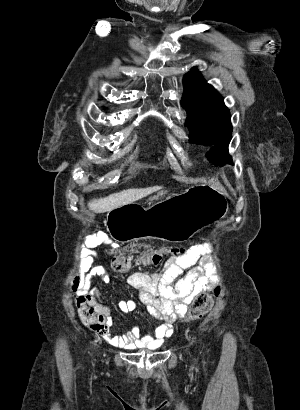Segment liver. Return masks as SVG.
<instances>
[{"label":"liver","instance_id":"liver-1","mask_svg":"<svg viewBox=\"0 0 300 410\" xmlns=\"http://www.w3.org/2000/svg\"><path fill=\"white\" fill-rule=\"evenodd\" d=\"M158 187L145 189H128L111 194L105 198L94 199L88 203L89 208L96 213L109 212L119 206L133 203L156 191Z\"/></svg>","mask_w":300,"mask_h":410}]
</instances>
